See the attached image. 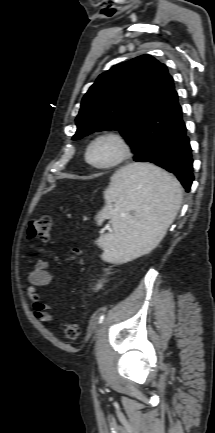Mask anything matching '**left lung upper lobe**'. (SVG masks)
Returning <instances> with one entry per match:
<instances>
[{"label":"left lung upper lobe","instance_id":"5c2ea615","mask_svg":"<svg viewBox=\"0 0 215 433\" xmlns=\"http://www.w3.org/2000/svg\"><path fill=\"white\" fill-rule=\"evenodd\" d=\"M178 95L166 66L142 55L102 73L83 97L73 140L119 130L137 162L153 163Z\"/></svg>","mask_w":215,"mask_h":433}]
</instances>
